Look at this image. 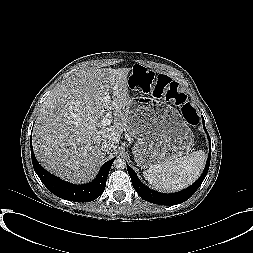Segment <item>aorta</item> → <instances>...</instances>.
Instances as JSON below:
<instances>
[{"label": "aorta", "instance_id": "obj_1", "mask_svg": "<svg viewBox=\"0 0 253 253\" xmlns=\"http://www.w3.org/2000/svg\"><path fill=\"white\" fill-rule=\"evenodd\" d=\"M114 167L116 169H124L126 167V161L123 158L118 157L114 161Z\"/></svg>", "mask_w": 253, "mask_h": 253}]
</instances>
